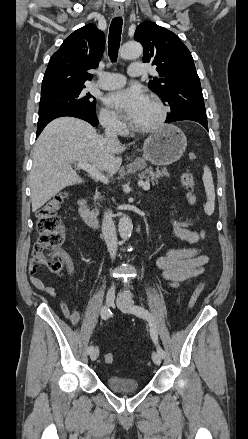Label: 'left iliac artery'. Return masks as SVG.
Here are the masks:
<instances>
[{
	"instance_id": "left-iliac-artery-1",
	"label": "left iliac artery",
	"mask_w": 248,
	"mask_h": 439,
	"mask_svg": "<svg viewBox=\"0 0 248 439\" xmlns=\"http://www.w3.org/2000/svg\"><path fill=\"white\" fill-rule=\"evenodd\" d=\"M132 312L134 314H136L137 316L146 319L149 322L151 338L157 346V352L161 355L162 358H165L166 353L158 344L157 329H156L155 320H154V317L152 316V314L148 310H146L144 307H141L138 305H135L132 307Z\"/></svg>"
}]
</instances>
